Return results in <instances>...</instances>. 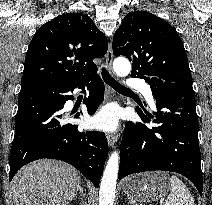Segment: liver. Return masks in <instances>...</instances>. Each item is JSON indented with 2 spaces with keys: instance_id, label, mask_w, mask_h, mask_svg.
Masks as SVG:
<instances>
[{
  "instance_id": "6515ba94",
  "label": "liver",
  "mask_w": 212,
  "mask_h": 205,
  "mask_svg": "<svg viewBox=\"0 0 212 205\" xmlns=\"http://www.w3.org/2000/svg\"><path fill=\"white\" fill-rule=\"evenodd\" d=\"M78 171L58 160H37L21 168L10 184L14 205H68Z\"/></svg>"
}]
</instances>
